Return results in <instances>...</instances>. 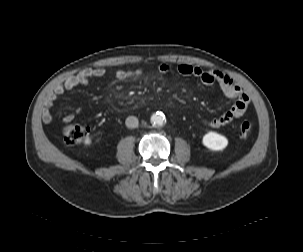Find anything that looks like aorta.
<instances>
[{"instance_id":"obj_1","label":"aorta","mask_w":303,"mask_h":252,"mask_svg":"<svg viewBox=\"0 0 303 252\" xmlns=\"http://www.w3.org/2000/svg\"><path fill=\"white\" fill-rule=\"evenodd\" d=\"M150 121L154 126H163L166 122V118L164 114L157 112L151 116Z\"/></svg>"}]
</instances>
